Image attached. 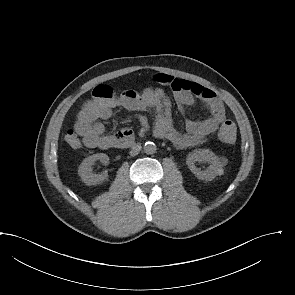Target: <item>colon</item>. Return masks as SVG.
I'll list each match as a JSON object with an SVG mask.
<instances>
[{
  "mask_svg": "<svg viewBox=\"0 0 295 295\" xmlns=\"http://www.w3.org/2000/svg\"><path fill=\"white\" fill-rule=\"evenodd\" d=\"M116 90L111 86L99 85L93 89L92 95L95 101H107L116 97ZM222 142L232 144L236 140V126L232 121H224L219 130Z\"/></svg>",
  "mask_w": 295,
  "mask_h": 295,
  "instance_id": "1",
  "label": "colon"
}]
</instances>
